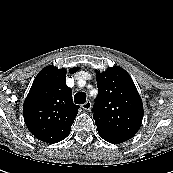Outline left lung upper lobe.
Listing matches in <instances>:
<instances>
[{
    "label": "left lung upper lobe",
    "mask_w": 173,
    "mask_h": 173,
    "mask_svg": "<svg viewBox=\"0 0 173 173\" xmlns=\"http://www.w3.org/2000/svg\"><path fill=\"white\" fill-rule=\"evenodd\" d=\"M98 97L94 120L101 137L122 143L132 138L142 124L143 103L130 75L121 67L97 74Z\"/></svg>",
    "instance_id": "1"
}]
</instances>
